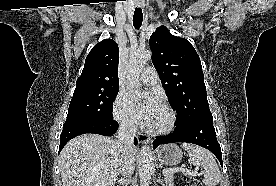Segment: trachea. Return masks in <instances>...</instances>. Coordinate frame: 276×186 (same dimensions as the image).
<instances>
[{"mask_svg": "<svg viewBox=\"0 0 276 186\" xmlns=\"http://www.w3.org/2000/svg\"><path fill=\"white\" fill-rule=\"evenodd\" d=\"M143 20V13L141 8H135L133 15V26L135 29H140Z\"/></svg>", "mask_w": 276, "mask_h": 186, "instance_id": "trachea-1", "label": "trachea"}]
</instances>
